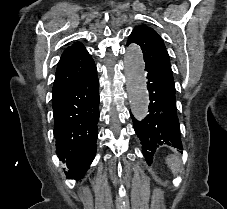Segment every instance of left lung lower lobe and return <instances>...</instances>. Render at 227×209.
I'll return each instance as SVG.
<instances>
[{
	"label": "left lung lower lobe",
	"mask_w": 227,
	"mask_h": 209,
	"mask_svg": "<svg viewBox=\"0 0 227 209\" xmlns=\"http://www.w3.org/2000/svg\"><path fill=\"white\" fill-rule=\"evenodd\" d=\"M146 71L149 114L141 122L130 115L145 159L151 164L158 147L171 146L179 150H183V147L176 111L175 86L156 70L146 68Z\"/></svg>",
	"instance_id": "1"
}]
</instances>
